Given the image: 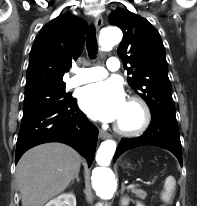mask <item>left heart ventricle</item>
<instances>
[{"label":"left heart ventricle","instance_id":"left-heart-ventricle-1","mask_svg":"<svg viewBox=\"0 0 197 206\" xmlns=\"http://www.w3.org/2000/svg\"><path fill=\"white\" fill-rule=\"evenodd\" d=\"M139 118L140 115L138 109L127 103L125 111L118 122L124 126L132 127L139 122Z\"/></svg>","mask_w":197,"mask_h":206}]
</instances>
